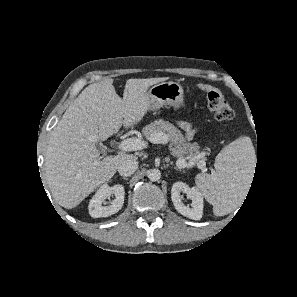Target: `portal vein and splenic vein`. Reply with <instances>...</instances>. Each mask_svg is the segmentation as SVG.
<instances>
[{
    "mask_svg": "<svg viewBox=\"0 0 297 297\" xmlns=\"http://www.w3.org/2000/svg\"><path fill=\"white\" fill-rule=\"evenodd\" d=\"M150 142L152 143H160V144H167L168 143V138L165 134H163L162 132H157L151 135V137L149 138ZM147 147V142H145L144 140H141L139 138H128L123 140L120 144H119V149L122 151H137V150H141ZM176 163L178 165H181L183 167H191L193 165L192 162H185V160L183 159H178L176 161ZM201 168L204 167V164L202 163L200 165Z\"/></svg>",
    "mask_w": 297,
    "mask_h": 297,
    "instance_id": "portal-vein-and-splenic-vein-1",
    "label": "portal vein and splenic vein"
}]
</instances>
